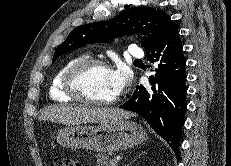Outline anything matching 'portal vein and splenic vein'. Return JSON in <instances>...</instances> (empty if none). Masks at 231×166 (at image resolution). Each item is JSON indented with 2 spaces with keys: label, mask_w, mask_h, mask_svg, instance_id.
<instances>
[{
  "label": "portal vein and splenic vein",
  "mask_w": 231,
  "mask_h": 166,
  "mask_svg": "<svg viewBox=\"0 0 231 166\" xmlns=\"http://www.w3.org/2000/svg\"><path fill=\"white\" fill-rule=\"evenodd\" d=\"M120 160V157H116L113 159L114 162L118 163V161Z\"/></svg>",
  "instance_id": "obj_1"
}]
</instances>
